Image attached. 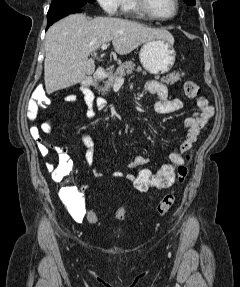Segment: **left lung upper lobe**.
Here are the masks:
<instances>
[{
    "mask_svg": "<svg viewBox=\"0 0 240 287\" xmlns=\"http://www.w3.org/2000/svg\"><path fill=\"white\" fill-rule=\"evenodd\" d=\"M187 5H195V0H183Z\"/></svg>",
    "mask_w": 240,
    "mask_h": 287,
    "instance_id": "5c2ea615",
    "label": "left lung upper lobe"
}]
</instances>
